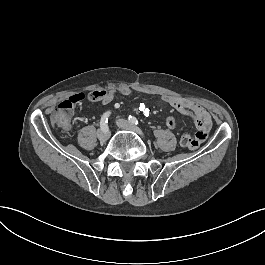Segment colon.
<instances>
[{"mask_svg": "<svg viewBox=\"0 0 265 265\" xmlns=\"http://www.w3.org/2000/svg\"><path fill=\"white\" fill-rule=\"evenodd\" d=\"M84 99L92 104H101L108 100V95L104 91H90L85 98L82 93H79L76 97L70 98V101L63 102V104L55 110L52 115V122L57 125L67 126L69 116L66 111L73 108L72 103H75V100L82 102ZM181 143L183 146L191 148V135H183L181 137Z\"/></svg>", "mask_w": 265, "mask_h": 265, "instance_id": "obj_1", "label": "colon"}]
</instances>
